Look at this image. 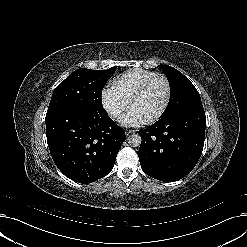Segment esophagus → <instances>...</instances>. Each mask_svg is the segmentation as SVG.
<instances>
[{
	"label": "esophagus",
	"instance_id": "34e87169",
	"mask_svg": "<svg viewBox=\"0 0 247 247\" xmlns=\"http://www.w3.org/2000/svg\"><path fill=\"white\" fill-rule=\"evenodd\" d=\"M133 132H134V130H127V135H129V134H131Z\"/></svg>",
	"mask_w": 247,
	"mask_h": 247
}]
</instances>
